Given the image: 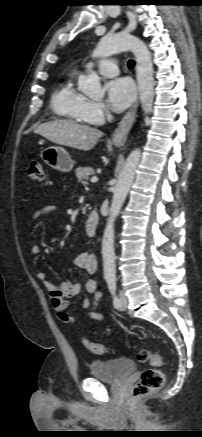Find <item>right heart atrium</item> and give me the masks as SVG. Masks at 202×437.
<instances>
[{
	"mask_svg": "<svg viewBox=\"0 0 202 437\" xmlns=\"http://www.w3.org/2000/svg\"><path fill=\"white\" fill-rule=\"evenodd\" d=\"M106 107L101 102L88 100L85 105V114L89 121L100 122L106 115Z\"/></svg>",
	"mask_w": 202,
	"mask_h": 437,
	"instance_id": "d8ad5b80",
	"label": "right heart atrium"
}]
</instances>
